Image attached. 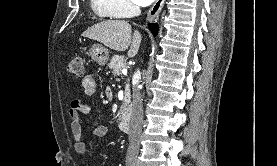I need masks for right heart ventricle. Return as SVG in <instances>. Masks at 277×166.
<instances>
[{
  "label": "right heart ventricle",
  "mask_w": 277,
  "mask_h": 166,
  "mask_svg": "<svg viewBox=\"0 0 277 166\" xmlns=\"http://www.w3.org/2000/svg\"><path fill=\"white\" fill-rule=\"evenodd\" d=\"M92 11L101 19H113L117 15L112 10L108 0H89Z\"/></svg>",
  "instance_id": "1"
}]
</instances>
